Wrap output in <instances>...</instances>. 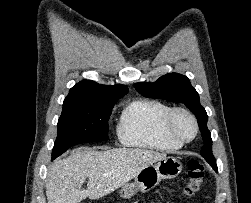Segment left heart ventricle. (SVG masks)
I'll return each mask as SVG.
<instances>
[{"label": "left heart ventricle", "mask_w": 251, "mask_h": 203, "mask_svg": "<svg viewBox=\"0 0 251 203\" xmlns=\"http://www.w3.org/2000/svg\"><path fill=\"white\" fill-rule=\"evenodd\" d=\"M175 131L184 138H189L194 133L192 121L184 114H178L174 120Z\"/></svg>", "instance_id": "1"}]
</instances>
